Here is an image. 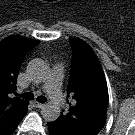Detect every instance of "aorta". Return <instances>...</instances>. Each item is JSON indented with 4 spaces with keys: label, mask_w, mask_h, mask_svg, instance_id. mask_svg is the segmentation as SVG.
<instances>
[{
    "label": "aorta",
    "mask_w": 135,
    "mask_h": 135,
    "mask_svg": "<svg viewBox=\"0 0 135 135\" xmlns=\"http://www.w3.org/2000/svg\"><path fill=\"white\" fill-rule=\"evenodd\" d=\"M27 70L37 81L43 80L48 74V66L41 59L32 60ZM42 116L46 121H56L60 116V108L52 103H47L42 109Z\"/></svg>",
    "instance_id": "762f6f07"
}]
</instances>
